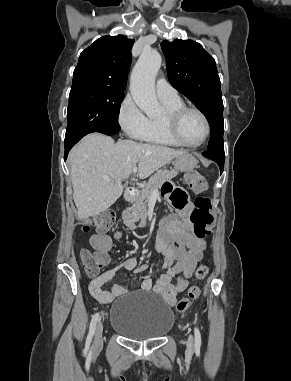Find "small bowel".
<instances>
[{
  "instance_id": "small-bowel-1",
  "label": "small bowel",
  "mask_w": 291,
  "mask_h": 381,
  "mask_svg": "<svg viewBox=\"0 0 291 381\" xmlns=\"http://www.w3.org/2000/svg\"><path fill=\"white\" fill-rule=\"evenodd\" d=\"M165 194L176 208V214L161 221L155 242L156 250L163 255V272L155 282L150 278L143 279L141 289L161 295L164 301L172 306L176 302L177 295L186 290L189 278L203 258L206 243L188 229L191 207L182 190L166 187ZM179 199L184 200L183 205H177L176 201ZM120 237L121 233L117 231L114 238L120 239ZM111 243V237L108 235L95 234L90 238V244L96 251L107 252L111 248ZM121 269L141 274L148 269V266L137 267L136 260L130 257L118 266L93 278L89 283V292L98 302L109 304L116 297L129 291V287L122 284H114L110 289H105V285ZM174 278L175 282H173Z\"/></svg>"
}]
</instances>
